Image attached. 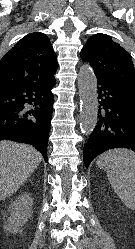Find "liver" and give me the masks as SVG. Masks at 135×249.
I'll return each mask as SVG.
<instances>
[{
  "mask_svg": "<svg viewBox=\"0 0 135 249\" xmlns=\"http://www.w3.org/2000/svg\"><path fill=\"white\" fill-rule=\"evenodd\" d=\"M41 161L40 152L33 146L0 141V201L14 194Z\"/></svg>",
  "mask_w": 135,
  "mask_h": 249,
  "instance_id": "liver-1",
  "label": "liver"
}]
</instances>
